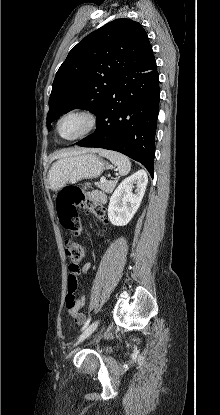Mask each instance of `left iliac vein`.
<instances>
[{
  "instance_id": "1",
  "label": "left iliac vein",
  "mask_w": 220,
  "mask_h": 415,
  "mask_svg": "<svg viewBox=\"0 0 220 415\" xmlns=\"http://www.w3.org/2000/svg\"><path fill=\"white\" fill-rule=\"evenodd\" d=\"M99 324V320L93 322L91 325H89L84 332L79 336V338L77 339V341L75 342L74 346L80 344L81 342H83L85 339H87L97 328Z\"/></svg>"
}]
</instances>
